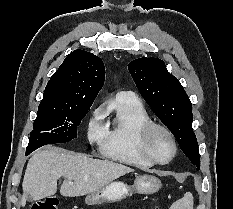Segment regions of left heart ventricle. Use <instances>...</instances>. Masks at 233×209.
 <instances>
[{
	"label": "left heart ventricle",
	"mask_w": 233,
	"mask_h": 209,
	"mask_svg": "<svg viewBox=\"0 0 233 209\" xmlns=\"http://www.w3.org/2000/svg\"><path fill=\"white\" fill-rule=\"evenodd\" d=\"M153 156L160 161H166L172 155V144L169 137L162 131H155L149 142Z\"/></svg>",
	"instance_id": "left-heart-ventricle-1"
}]
</instances>
